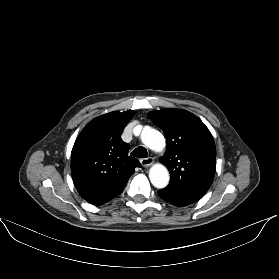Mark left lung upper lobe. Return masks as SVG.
Segmentation results:
<instances>
[{
	"instance_id": "obj_1",
	"label": "left lung upper lobe",
	"mask_w": 279,
	"mask_h": 279,
	"mask_svg": "<svg viewBox=\"0 0 279 279\" xmlns=\"http://www.w3.org/2000/svg\"><path fill=\"white\" fill-rule=\"evenodd\" d=\"M163 130L167 150L160 158L170 172V182L161 189L165 194L198 201L210 188L216 168L214 139L194 114L166 108L147 114Z\"/></svg>"
}]
</instances>
